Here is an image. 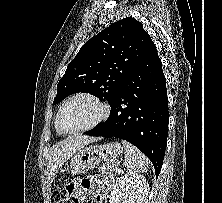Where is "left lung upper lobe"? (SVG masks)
<instances>
[{"label": "left lung upper lobe", "instance_id": "obj_1", "mask_svg": "<svg viewBox=\"0 0 222 203\" xmlns=\"http://www.w3.org/2000/svg\"><path fill=\"white\" fill-rule=\"evenodd\" d=\"M151 40L143 24L123 18L88 40L67 66L53 104L83 92L110 104Z\"/></svg>", "mask_w": 222, "mask_h": 203}]
</instances>
